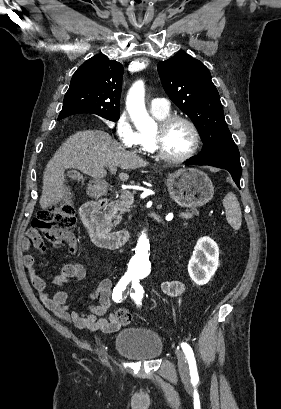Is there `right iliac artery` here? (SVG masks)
Listing matches in <instances>:
<instances>
[{
  "label": "right iliac artery",
  "instance_id": "obj_1",
  "mask_svg": "<svg viewBox=\"0 0 281 409\" xmlns=\"http://www.w3.org/2000/svg\"><path fill=\"white\" fill-rule=\"evenodd\" d=\"M132 280V277L130 275H124L117 283V285L114 287L113 290V295L112 298L115 302L119 303L121 302L123 299H126L128 294H129V290L127 288V285L130 283V281ZM127 288V290H126Z\"/></svg>",
  "mask_w": 281,
  "mask_h": 409
}]
</instances>
